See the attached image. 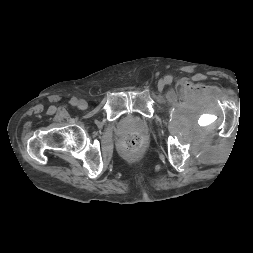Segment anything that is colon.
Masks as SVG:
<instances>
[{"mask_svg":"<svg viewBox=\"0 0 253 253\" xmlns=\"http://www.w3.org/2000/svg\"><path fill=\"white\" fill-rule=\"evenodd\" d=\"M143 145V138L138 133L130 134L121 141L122 149L131 157L136 156Z\"/></svg>","mask_w":253,"mask_h":253,"instance_id":"1","label":"colon"}]
</instances>
